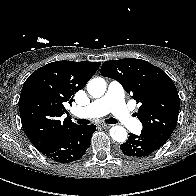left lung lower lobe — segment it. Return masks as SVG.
<instances>
[{
    "label": "left lung lower lobe",
    "instance_id": "0a47b994",
    "mask_svg": "<svg viewBox=\"0 0 196 196\" xmlns=\"http://www.w3.org/2000/svg\"><path fill=\"white\" fill-rule=\"evenodd\" d=\"M162 145L149 139L143 134L135 135L130 133L128 140L120 145L124 155L132 157H144L157 151Z\"/></svg>",
    "mask_w": 196,
    "mask_h": 196
}]
</instances>
